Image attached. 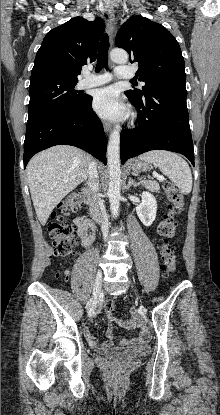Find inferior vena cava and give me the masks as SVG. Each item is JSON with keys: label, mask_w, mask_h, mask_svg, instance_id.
I'll return each instance as SVG.
<instances>
[{"label": "inferior vena cava", "mask_w": 220, "mask_h": 415, "mask_svg": "<svg viewBox=\"0 0 220 415\" xmlns=\"http://www.w3.org/2000/svg\"><path fill=\"white\" fill-rule=\"evenodd\" d=\"M87 185L90 191V205L92 210L95 211V220L99 222L102 226V233L104 238L106 239L108 236V218L105 212V207L103 201L99 196V180H98V172L97 166L94 161H91L88 168V181Z\"/></svg>", "instance_id": "inferior-vena-cava-1"}]
</instances>
